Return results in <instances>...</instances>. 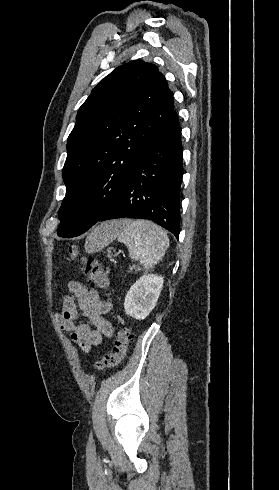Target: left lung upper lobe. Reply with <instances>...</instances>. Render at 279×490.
Instances as JSON below:
<instances>
[{"instance_id": "obj_1", "label": "left lung upper lobe", "mask_w": 279, "mask_h": 490, "mask_svg": "<svg viewBox=\"0 0 279 490\" xmlns=\"http://www.w3.org/2000/svg\"><path fill=\"white\" fill-rule=\"evenodd\" d=\"M173 105L164 75L140 60L118 67L92 90L67 141L59 236H79L112 208L143 146Z\"/></svg>"}]
</instances>
